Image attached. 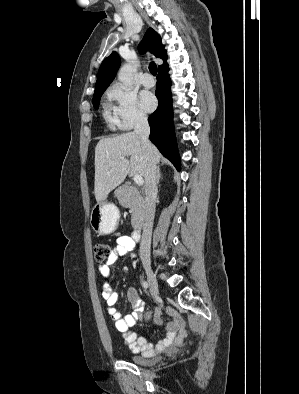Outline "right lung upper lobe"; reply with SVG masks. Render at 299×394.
I'll return each mask as SVG.
<instances>
[{
	"label": "right lung upper lobe",
	"instance_id": "cb5924a9",
	"mask_svg": "<svg viewBox=\"0 0 299 394\" xmlns=\"http://www.w3.org/2000/svg\"><path fill=\"white\" fill-rule=\"evenodd\" d=\"M138 49L142 53H144L147 49L151 50L156 57H159L164 61L163 65H165L168 58L167 52L164 50V45L161 42L160 35L152 28H149L146 31L143 40L138 46ZM120 63V57L115 51L112 52L111 55L102 62L98 71L94 95L106 90V88L113 81Z\"/></svg>",
	"mask_w": 299,
	"mask_h": 394
}]
</instances>
